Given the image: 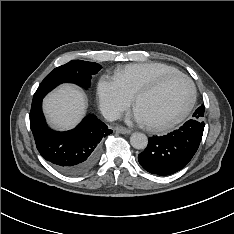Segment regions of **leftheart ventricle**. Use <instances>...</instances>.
<instances>
[{"label":"left heart ventricle","instance_id":"1","mask_svg":"<svg viewBox=\"0 0 234 234\" xmlns=\"http://www.w3.org/2000/svg\"><path fill=\"white\" fill-rule=\"evenodd\" d=\"M190 97L189 84L182 78H173L155 92L141 98L136 108L146 123H162L178 116Z\"/></svg>","mask_w":234,"mask_h":234}]
</instances>
